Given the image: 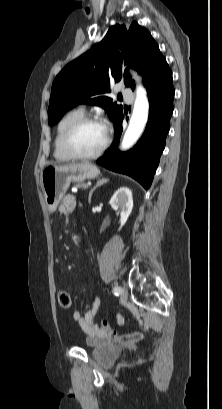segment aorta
<instances>
[{
    "label": "aorta",
    "mask_w": 222,
    "mask_h": 409,
    "mask_svg": "<svg viewBox=\"0 0 222 409\" xmlns=\"http://www.w3.org/2000/svg\"><path fill=\"white\" fill-rule=\"evenodd\" d=\"M149 115V102L145 90L139 86L137 88V96L134 103L132 116L129 121V126L124 134L121 150L131 148L142 135Z\"/></svg>",
    "instance_id": "aorta-1"
}]
</instances>
